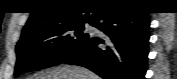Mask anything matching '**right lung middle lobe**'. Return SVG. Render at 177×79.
<instances>
[{"label":"right lung middle lobe","mask_w":177,"mask_h":79,"mask_svg":"<svg viewBox=\"0 0 177 79\" xmlns=\"http://www.w3.org/2000/svg\"><path fill=\"white\" fill-rule=\"evenodd\" d=\"M76 21L39 29L20 39L16 47L15 76L31 68H47L61 64L89 34L84 23Z\"/></svg>","instance_id":"right-lung-middle-lobe-1"}]
</instances>
